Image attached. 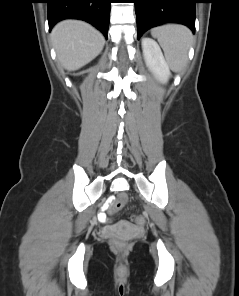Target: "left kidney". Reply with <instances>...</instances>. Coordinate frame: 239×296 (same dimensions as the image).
<instances>
[{"instance_id": "5707ae66", "label": "left kidney", "mask_w": 239, "mask_h": 296, "mask_svg": "<svg viewBox=\"0 0 239 296\" xmlns=\"http://www.w3.org/2000/svg\"><path fill=\"white\" fill-rule=\"evenodd\" d=\"M142 50L148 68L159 81L166 83L170 77V70L157 42L148 37L144 38Z\"/></svg>"}]
</instances>
